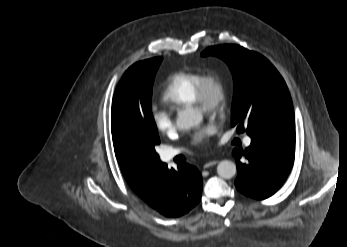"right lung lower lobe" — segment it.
Segmentation results:
<instances>
[{
    "label": "right lung lower lobe",
    "mask_w": 347,
    "mask_h": 247,
    "mask_svg": "<svg viewBox=\"0 0 347 247\" xmlns=\"http://www.w3.org/2000/svg\"><path fill=\"white\" fill-rule=\"evenodd\" d=\"M158 195L147 204L166 217H179L193 209L201 199L202 176L196 167L178 165V169L163 168Z\"/></svg>",
    "instance_id": "1"
}]
</instances>
